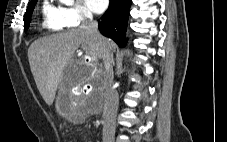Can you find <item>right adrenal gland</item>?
<instances>
[{"label":"right adrenal gland","instance_id":"obj_1","mask_svg":"<svg viewBox=\"0 0 227 142\" xmlns=\"http://www.w3.org/2000/svg\"><path fill=\"white\" fill-rule=\"evenodd\" d=\"M111 58H112V62H113V65H114V59H113V54H111Z\"/></svg>","mask_w":227,"mask_h":142}]
</instances>
